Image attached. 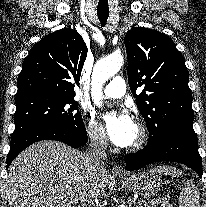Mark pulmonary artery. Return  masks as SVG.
<instances>
[{
  "instance_id": "pulmonary-artery-1",
  "label": "pulmonary artery",
  "mask_w": 206,
  "mask_h": 207,
  "mask_svg": "<svg viewBox=\"0 0 206 207\" xmlns=\"http://www.w3.org/2000/svg\"><path fill=\"white\" fill-rule=\"evenodd\" d=\"M126 92V84L121 76H115L106 85L103 93L107 98H120Z\"/></svg>"
}]
</instances>
